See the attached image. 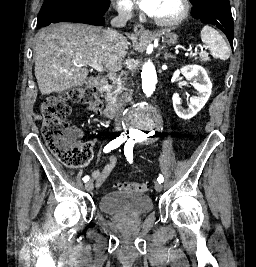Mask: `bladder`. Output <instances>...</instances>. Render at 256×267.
I'll return each instance as SVG.
<instances>
[{
	"mask_svg": "<svg viewBox=\"0 0 256 267\" xmlns=\"http://www.w3.org/2000/svg\"><path fill=\"white\" fill-rule=\"evenodd\" d=\"M99 207L102 212L139 216L151 211L150 196L144 195H117L114 192L101 196Z\"/></svg>",
	"mask_w": 256,
	"mask_h": 267,
	"instance_id": "1",
	"label": "bladder"
}]
</instances>
